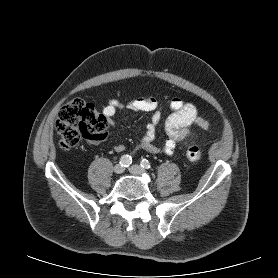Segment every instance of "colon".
I'll list each match as a JSON object with an SVG mask.
<instances>
[{
  "mask_svg": "<svg viewBox=\"0 0 278 278\" xmlns=\"http://www.w3.org/2000/svg\"><path fill=\"white\" fill-rule=\"evenodd\" d=\"M108 125L107 117L100 113L92 103L74 99L62 106L55 128L59 145L63 150L76 146L82 139L101 140ZM186 157L192 162L199 161L202 150L191 144L186 149Z\"/></svg>",
  "mask_w": 278,
  "mask_h": 278,
  "instance_id": "5ec220e1",
  "label": "colon"
}]
</instances>
